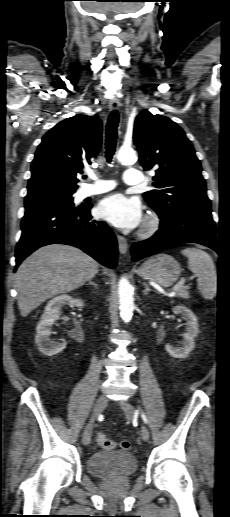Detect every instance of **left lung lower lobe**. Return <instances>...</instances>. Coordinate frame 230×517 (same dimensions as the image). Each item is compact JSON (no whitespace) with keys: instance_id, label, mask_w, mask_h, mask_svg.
Masks as SVG:
<instances>
[{"instance_id":"0a47b994","label":"left lung lower lobe","mask_w":230,"mask_h":517,"mask_svg":"<svg viewBox=\"0 0 230 517\" xmlns=\"http://www.w3.org/2000/svg\"><path fill=\"white\" fill-rule=\"evenodd\" d=\"M160 219V229L155 235L133 244L131 249L133 261H138L160 250L190 242L202 244L220 254L221 247L217 240L211 207L182 209L174 215L160 217Z\"/></svg>"}]
</instances>
